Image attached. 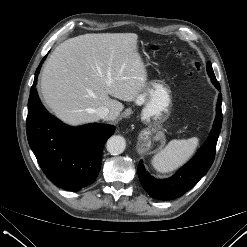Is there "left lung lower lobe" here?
Returning a JSON list of instances; mask_svg holds the SVG:
<instances>
[{
  "instance_id": "1",
  "label": "left lung lower lobe",
  "mask_w": 247,
  "mask_h": 247,
  "mask_svg": "<svg viewBox=\"0 0 247 247\" xmlns=\"http://www.w3.org/2000/svg\"><path fill=\"white\" fill-rule=\"evenodd\" d=\"M212 83L219 91L221 90L218 81ZM221 103L222 96L219 94L216 118L206 143L175 175L167 179H155L144 169L140 161L139 180L150 196L159 200L175 199L190 190L207 173L215 158L216 144L222 126Z\"/></svg>"
}]
</instances>
